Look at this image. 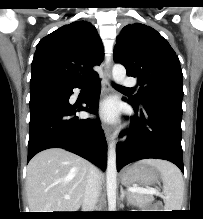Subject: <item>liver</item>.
Returning <instances> with one entry per match:
<instances>
[{"label":"liver","instance_id":"1","mask_svg":"<svg viewBox=\"0 0 203 219\" xmlns=\"http://www.w3.org/2000/svg\"><path fill=\"white\" fill-rule=\"evenodd\" d=\"M91 163L61 148L35 155L27 166L26 190L31 212H77ZM102 172L98 170L99 179ZM66 195L70 199H65Z\"/></svg>","mask_w":203,"mask_h":219}]
</instances>
